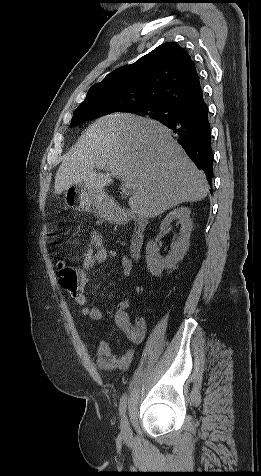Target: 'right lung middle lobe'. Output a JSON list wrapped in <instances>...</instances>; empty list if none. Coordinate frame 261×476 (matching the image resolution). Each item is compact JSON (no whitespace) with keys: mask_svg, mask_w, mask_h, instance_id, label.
Wrapping results in <instances>:
<instances>
[{"mask_svg":"<svg viewBox=\"0 0 261 476\" xmlns=\"http://www.w3.org/2000/svg\"><path fill=\"white\" fill-rule=\"evenodd\" d=\"M179 109L166 105H149L136 110L135 114L148 116L158 121H162L167 117H172ZM121 105H110L105 103H90L77 107L74 112L70 126L78 125L89 119L100 117L114 112H124Z\"/></svg>","mask_w":261,"mask_h":476,"instance_id":"1","label":"right lung middle lobe"}]
</instances>
